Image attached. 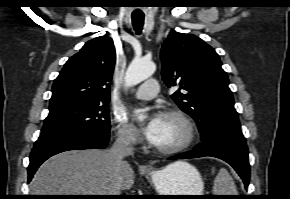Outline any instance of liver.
<instances>
[{"instance_id": "obj_1", "label": "liver", "mask_w": 290, "mask_h": 199, "mask_svg": "<svg viewBox=\"0 0 290 199\" xmlns=\"http://www.w3.org/2000/svg\"><path fill=\"white\" fill-rule=\"evenodd\" d=\"M134 179L129 164L118 175L107 150H74L45 161L34 175L30 189L32 195H111L117 187L131 189Z\"/></svg>"}]
</instances>
